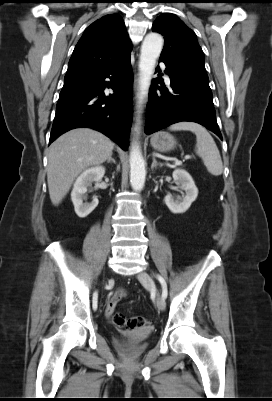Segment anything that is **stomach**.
Listing matches in <instances>:
<instances>
[{
  "mask_svg": "<svg viewBox=\"0 0 272 401\" xmlns=\"http://www.w3.org/2000/svg\"><path fill=\"white\" fill-rule=\"evenodd\" d=\"M150 143L153 149L159 152L171 151L177 145V141L173 135L166 131H159L152 135Z\"/></svg>",
  "mask_w": 272,
  "mask_h": 401,
  "instance_id": "1",
  "label": "stomach"
}]
</instances>
